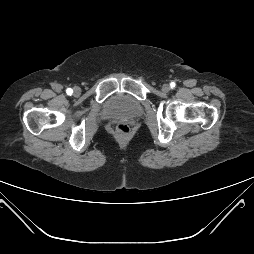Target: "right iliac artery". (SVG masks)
I'll list each match as a JSON object with an SVG mask.
<instances>
[{
    "label": "right iliac artery",
    "mask_w": 254,
    "mask_h": 254,
    "mask_svg": "<svg viewBox=\"0 0 254 254\" xmlns=\"http://www.w3.org/2000/svg\"><path fill=\"white\" fill-rule=\"evenodd\" d=\"M66 92H67L68 95H71V94L73 93V90H72L71 88H68V89L66 90Z\"/></svg>",
    "instance_id": "1"
}]
</instances>
